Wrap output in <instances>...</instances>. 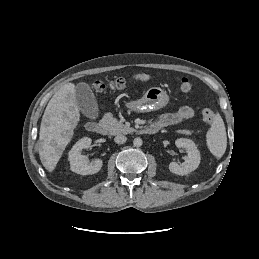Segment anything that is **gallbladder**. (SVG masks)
Here are the masks:
<instances>
[{
  "mask_svg": "<svg viewBox=\"0 0 259 259\" xmlns=\"http://www.w3.org/2000/svg\"><path fill=\"white\" fill-rule=\"evenodd\" d=\"M75 98L79 110L86 117L90 119H96L98 117V103L88 84L82 82L76 85Z\"/></svg>",
  "mask_w": 259,
  "mask_h": 259,
  "instance_id": "bac80fb5",
  "label": "gallbladder"
}]
</instances>
